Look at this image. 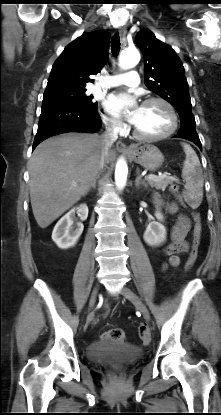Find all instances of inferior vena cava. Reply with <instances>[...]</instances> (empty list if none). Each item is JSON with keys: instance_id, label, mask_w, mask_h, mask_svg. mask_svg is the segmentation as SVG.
Wrapping results in <instances>:
<instances>
[{"instance_id": "inferior-vena-cava-1", "label": "inferior vena cava", "mask_w": 221, "mask_h": 415, "mask_svg": "<svg viewBox=\"0 0 221 415\" xmlns=\"http://www.w3.org/2000/svg\"><path fill=\"white\" fill-rule=\"evenodd\" d=\"M118 133L116 130V124L115 123H108L106 124V130L101 135V148H102V158L100 162L99 169L102 170L105 164V157L108 154V151L110 150L113 143L117 140Z\"/></svg>"}]
</instances>
